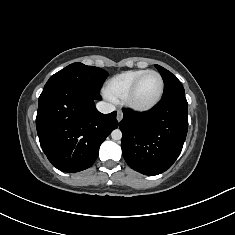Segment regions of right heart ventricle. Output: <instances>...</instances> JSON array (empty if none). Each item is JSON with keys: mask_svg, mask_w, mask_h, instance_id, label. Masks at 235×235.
I'll return each mask as SVG.
<instances>
[{"mask_svg": "<svg viewBox=\"0 0 235 235\" xmlns=\"http://www.w3.org/2000/svg\"><path fill=\"white\" fill-rule=\"evenodd\" d=\"M146 70H128L111 77L105 84V95L113 101H122L132 83Z\"/></svg>", "mask_w": 235, "mask_h": 235, "instance_id": "right-heart-ventricle-1", "label": "right heart ventricle"}]
</instances>
